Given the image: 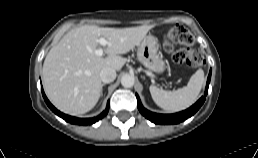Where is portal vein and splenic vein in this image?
<instances>
[{"mask_svg": "<svg viewBox=\"0 0 258 158\" xmlns=\"http://www.w3.org/2000/svg\"><path fill=\"white\" fill-rule=\"evenodd\" d=\"M99 43H100V45H101L102 47H105V46L108 44V41H107L105 38L101 37V38L99 39ZM102 47L95 50V54H96L97 56H102V55H103L104 49H103ZM147 75H149V73H147Z\"/></svg>", "mask_w": 258, "mask_h": 158, "instance_id": "18ae733b", "label": "portal vein and splenic vein"}]
</instances>
